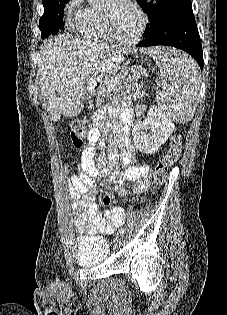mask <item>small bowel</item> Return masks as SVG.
Here are the masks:
<instances>
[{
    "mask_svg": "<svg viewBox=\"0 0 227 315\" xmlns=\"http://www.w3.org/2000/svg\"><path fill=\"white\" fill-rule=\"evenodd\" d=\"M136 90L135 84H130L126 92L131 95ZM102 113L96 117L95 126L90 129L87 144L83 149L77 165V172L65 178L71 201V215L74 229L79 234L96 235L98 233L112 234L125 224L122 216L125 210L118 208L100 209L95 202L96 186L100 179H107L114 185L117 194L127 197L141 194L149 188L150 167L138 164L133 157V146L127 139H121L109 148L108 161L101 160L96 164V145L100 136ZM118 148L121 150L118 153ZM125 168L120 169L119 165ZM125 181H132L130 188L123 187Z\"/></svg>",
    "mask_w": 227,
    "mask_h": 315,
    "instance_id": "1",
    "label": "small bowel"
}]
</instances>
